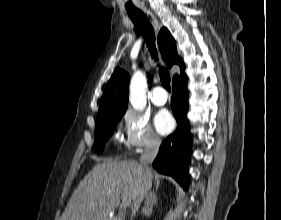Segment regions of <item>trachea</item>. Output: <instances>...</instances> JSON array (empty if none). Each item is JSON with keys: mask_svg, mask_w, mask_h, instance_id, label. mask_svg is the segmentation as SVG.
Here are the masks:
<instances>
[{"mask_svg": "<svg viewBox=\"0 0 281 220\" xmlns=\"http://www.w3.org/2000/svg\"><path fill=\"white\" fill-rule=\"evenodd\" d=\"M133 23L137 26L138 30L145 39V42L149 48L152 58H157L156 47H155V34L153 27L147 20L145 14L138 9L127 10ZM160 80L163 87L170 92V75L167 69L161 67L159 69Z\"/></svg>", "mask_w": 281, "mask_h": 220, "instance_id": "trachea-1", "label": "trachea"}]
</instances>
